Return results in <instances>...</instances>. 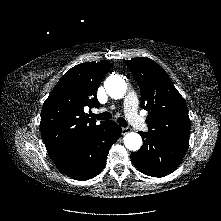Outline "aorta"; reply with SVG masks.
Wrapping results in <instances>:
<instances>
[{
  "mask_svg": "<svg viewBox=\"0 0 221 221\" xmlns=\"http://www.w3.org/2000/svg\"><path fill=\"white\" fill-rule=\"evenodd\" d=\"M105 90L111 98L120 99L124 96L127 84L119 75H112L104 82ZM124 145L130 151H138L142 145V138L138 133L129 132L124 137Z\"/></svg>",
  "mask_w": 221,
  "mask_h": 221,
  "instance_id": "obj_1",
  "label": "aorta"
}]
</instances>
